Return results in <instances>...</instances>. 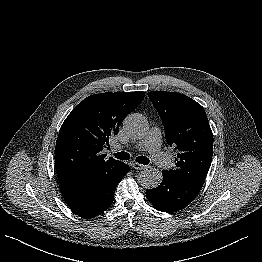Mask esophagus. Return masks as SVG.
Masks as SVG:
<instances>
[{"instance_id": "1", "label": "esophagus", "mask_w": 262, "mask_h": 262, "mask_svg": "<svg viewBox=\"0 0 262 262\" xmlns=\"http://www.w3.org/2000/svg\"><path fill=\"white\" fill-rule=\"evenodd\" d=\"M132 167L136 170H144V169L151 168V166H146V165H142V164H139V163H133Z\"/></svg>"}]
</instances>
